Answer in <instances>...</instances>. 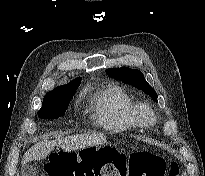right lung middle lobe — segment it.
Masks as SVG:
<instances>
[{
	"instance_id": "dd1d6c3e",
	"label": "right lung middle lobe",
	"mask_w": 205,
	"mask_h": 176,
	"mask_svg": "<svg viewBox=\"0 0 205 176\" xmlns=\"http://www.w3.org/2000/svg\"><path fill=\"white\" fill-rule=\"evenodd\" d=\"M75 91H63L45 96L38 116L42 119H55L63 116Z\"/></svg>"
}]
</instances>
